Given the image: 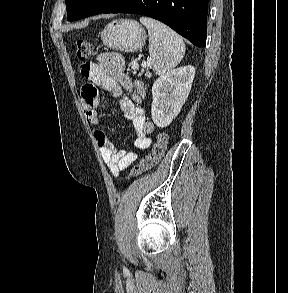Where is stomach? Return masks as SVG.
Here are the masks:
<instances>
[{"label":"stomach","instance_id":"obj_1","mask_svg":"<svg viewBox=\"0 0 288 293\" xmlns=\"http://www.w3.org/2000/svg\"><path fill=\"white\" fill-rule=\"evenodd\" d=\"M145 29L134 20L117 19L110 22L101 32L103 44L121 52H135L145 45Z\"/></svg>","mask_w":288,"mask_h":293}]
</instances>
